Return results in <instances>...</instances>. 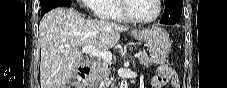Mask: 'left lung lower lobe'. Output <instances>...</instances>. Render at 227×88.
<instances>
[{
	"mask_svg": "<svg viewBox=\"0 0 227 88\" xmlns=\"http://www.w3.org/2000/svg\"><path fill=\"white\" fill-rule=\"evenodd\" d=\"M182 0H168L165 2V11L160 20L161 24L174 25L180 20Z\"/></svg>",
	"mask_w": 227,
	"mask_h": 88,
	"instance_id": "obj_1",
	"label": "left lung lower lobe"
}]
</instances>
